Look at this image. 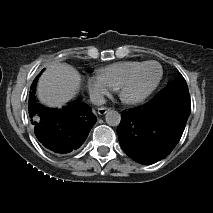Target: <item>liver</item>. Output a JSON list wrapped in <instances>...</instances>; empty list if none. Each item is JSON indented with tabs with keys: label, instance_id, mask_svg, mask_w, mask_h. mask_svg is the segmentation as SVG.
Here are the masks:
<instances>
[{
	"label": "liver",
	"instance_id": "obj_1",
	"mask_svg": "<svg viewBox=\"0 0 213 213\" xmlns=\"http://www.w3.org/2000/svg\"><path fill=\"white\" fill-rule=\"evenodd\" d=\"M81 76L66 63L50 65L38 80L37 96L49 107H62L79 91Z\"/></svg>",
	"mask_w": 213,
	"mask_h": 213
}]
</instances>
